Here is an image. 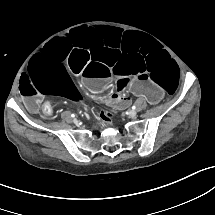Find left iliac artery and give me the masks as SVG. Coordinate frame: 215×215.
Masks as SVG:
<instances>
[{"label": "left iliac artery", "instance_id": "obj_1", "mask_svg": "<svg viewBox=\"0 0 215 215\" xmlns=\"http://www.w3.org/2000/svg\"><path fill=\"white\" fill-rule=\"evenodd\" d=\"M132 109H133V110H135V109H136V106H135V105H133V106H132Z\"/></svg>", "mask_w": 215, "mask_h": 215}]
</instances>
